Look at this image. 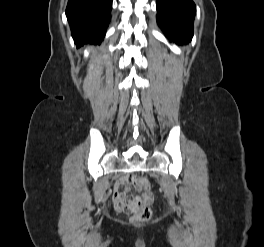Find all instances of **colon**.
<instances>
[{"label":"colon","mask_w":264,"mask_h":247,"mask_svg":"<svg viewBox=\"0 0 264 247\" xmlns=\"http://www.w3.org/2000/svg\"><path fill=\"white\" fill-rule=\"evenodd\" d=\"M130 182L136 190L146 191V196L144 198L139 196H126L119 201L118 208L124 213L133 214L132 220L134 222H147L152 215L148 203L154 199L153 194L150 192V183L143 176H134Z\"/></svg>","instance_id":"colon-1"}]
</instances>
